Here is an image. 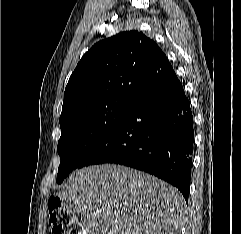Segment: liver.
<instances>
[{"instance_id": "6515ba94", "label": "liver", "mask_w": 241, "mask_h": 234, "mask_svg": "<svg viewBox=\"0 0 241 234\" xmlns=\"http://www.w3.org/2000/svg\"><path fill=\"white\" fill-rule=\"evenodd\" d=\"M57 196L78 212L86 234H176L185 201L173 186L115 164L75 171Z\"/></svg>"}]
</instances>
